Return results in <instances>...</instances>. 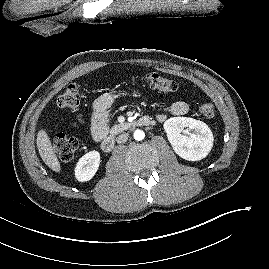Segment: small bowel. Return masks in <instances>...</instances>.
<instances>
[{
    "instance_id": "c3829d8e",
    "label": "small bowel",
    "mask_w": 269,
    "mask_h": 269,
    "mask_svg": "<svg viewBox=\"0 0 269 269\" xmlns=\"http://www.w3.org/2000/svg\"><path fill=\"white\" fill-rule=\"evenodd\" d=\"M116 95L113 93H105L99 96L93 103V115L91 121L92 136L96 141H100L107 133L108 129V109L115 101ZM189 110V106L184 101H176L170 107V115L179 117L184 116ZM158 119L164 121L167 115L164 113L158 114ZM84 119L79 115L75 125L83 124Z\"/></svg>"
}]
</instances>
